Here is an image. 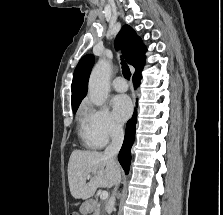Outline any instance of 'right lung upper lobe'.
Instances as JSON below:
<instances>
[{
  "label": "right lung upper lobe",
  "instance_id": "right-lung-upper-lobe-1",
  "mask_svg": "<svg viewBox=\"0 0 223 215\" xmlns=\"http://www.w3.org/2000/svg\"><path fill=\"white\" fill-rule=\"evenodd\" d=\"M115 47H121L129 64L142 70L145 62L146 47L140 37L129 26L124 25L115 40ZM94 64V56L88 54L82 57L74 71L72 89V109L78 108L81 100L87 93L88 79Z\"/></svg>",
  "mask_w": 223,
  "mask_h": 215
}]
</instances>
